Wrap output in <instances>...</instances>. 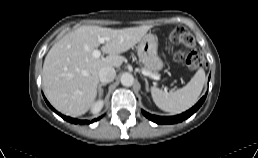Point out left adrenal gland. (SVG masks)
Segmentation results:
<instances>
[{
	"mask_svg": "<svg viewBox=\"0 0 258 158\" xmlns=\"http://www.w3.org/2000/svg\"><path fill=\"white\" fill-rule=\"evenodd\" d=\"M144 80H145V84H146L145 88H146V90L148 91V90H149L148 80H147L146 78H144Z\"/></svg>",
	"mask_w": 258,
	"mask_h": 158,
	"instance_id": "1",
	"label": "left adrenal gland"
}]
</instances>
